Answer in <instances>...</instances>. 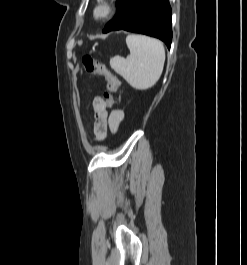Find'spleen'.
Listing matches in <instances>:
<instances>
[{"label":"spleen","instance_id":"1","mask_svg":"<svg viewBox=\"0 0 247 265\" xmlns=\"http://www.w3.org/2000/svg\"><path fill=\"white\" fill-rule=\"evenodd\" d=\"M130 55L124 59H110L111 68L136 90H147L159 80L165 62V50L161 41L145 36L130 34L126 37Z\"/></svg>","mask_w":247,"mask_h":265}]
</instances>
